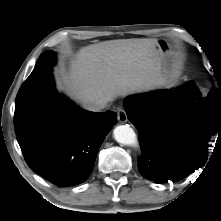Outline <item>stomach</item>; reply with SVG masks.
I'll return each mask as SVG.
<instances>
[{
    "label": "stomach",
    "instance_id": "obj_1",
    "mask_svg": "<svg viewBox=\"0 0 221 221\" xmlns=\"http://www.w3.org/2000/svg\"><path fill=\"white\" fill-rule=\"evenodd\" d=\"M156 48H157L158 53H159V60H160L161 65L165 64L167 58L169 57V55L171 53L169 43L165 40H159L157 45H156ZM162 80L165 84L166 83V72H165V70H163V73H162Z\"/></svg>",
    "mask_w": 221,
    "mask_h": 221
}]
</instances>
